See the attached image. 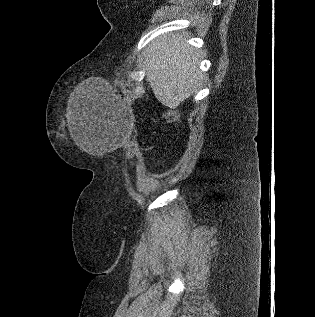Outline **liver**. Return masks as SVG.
<instances>
[{
	"instance_id": "1",
	"label": "liver",
	"mask_w": 315,
	"mask_h": 317,
	"mask_svg": "<svg viewBox=\"0 0 315 317\" xmlns=\"http://www.w3.org/2000/svg\"><path fill=\"white\" fill-rule=\"evenodd\" d=\"M187 41V33L164 35L147 49L146 80L158 101L173 109L196 93L202 79L198 68L202 52L190 47ZM70 114V134L76 145L89 152L87 139L80 133L83 123L78 109L72 107Z\"/></svg>"
}]
</instances>
